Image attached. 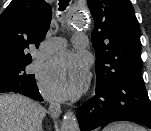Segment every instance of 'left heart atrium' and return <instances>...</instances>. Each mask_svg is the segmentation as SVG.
I'll list each match as a JSON object with an SVG mask.
<instances>
[{
    "instance_id": "left-heart-atrium-1",
    "label": "left heart atrium",
    "mask_w": 151,
    "mask_h": 131,
    "mask_svg": "<svg viewBox=\"0 0 151 131\" xmlns=\"http://www.w3.org/2000/svg\"><path fill=\"white\" fill-rule=\"evenodd\" d=\"M87 73V63L82 57L63 52L43 66L39 75L40 87L48 98L68 99L81 90Z\"/></svg>"
}]
</instances>
